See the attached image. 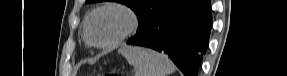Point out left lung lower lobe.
Instances as JSON below:
<instances>
[{
	"instance_id": "1",
	"label": "left lung lower lobe",
	"mask_w": 287,
	"mask_h": 76,
	"mask_svg": "<svg viewBox=\"0 0 287 76\" xmlns=\"http://www.w3.org/2000/svg\"><path fill=\"white\" fill-rule=\"evenodd\" d=\"M212 24L210 0H174L127 41L167 54L184 76H197Z\"/></svg>"
}]
</instances>
